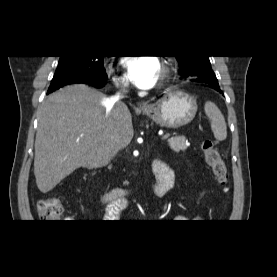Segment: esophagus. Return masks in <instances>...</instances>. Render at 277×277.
Wrapping results in <instances>:
<instances>
[{"label": "esophagus", "mask_w": 277, "mask_h": 277, "mask_svg": "<svg viewBox=\"0 0 277 277\" xmlns=\"http://www.w3.org/2000/svg\"><path fill=\"white\" fill-rule=\"evenodd\" d=\"M138 106L140 107V108H142V109H144V108H146V103H144V102H140V103H138Z\"/></svg>", "instance_id": "esophagus-1"}]
</instances>
